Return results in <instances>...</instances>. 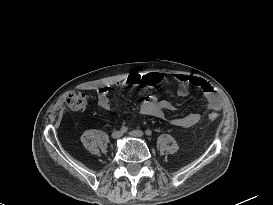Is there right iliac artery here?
I'll use <instances>...</instances> for the list:
<instances>
[{"instance_id": "82829eb1", "label": "right iliac artery", "mask_w": 273, "mask_h": 205, "mask_svg": "<svg viewBox=\"0 0 273 205\" xmlns=\"http://www.w3.org/2000/svg\"><path fill=\"white\" fill-rule=\"evenodd\" d=\"M120 130H121L122 133H125V132H127L128 127L127 126H122Z\"/></svg>"}]
</instances>
